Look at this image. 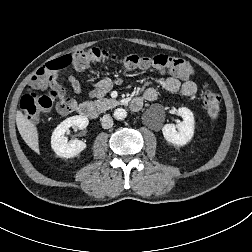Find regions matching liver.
<instances>
[{
    "label": "liver",
    "mask_w": 252,
    "mask_h": 252,
    "mask_svg": "<svg viewBox=\"0 0 252 252\" xmlns=\"http://www.w3.org/2000/svg\"><path fill=\"white\" fill-rule=\"evenodd\" d=\"M16 124L18 131L25 141V143L36 153H40L39 150V138L37 127L33 122L28 120L21 111H17Z\"/></svg>",
    "instance_id": "obj_1"
}]
</instances>
